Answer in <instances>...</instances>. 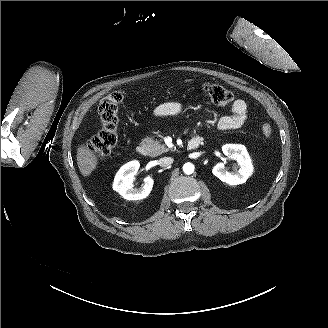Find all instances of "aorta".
<instances>
[{
	"label": "aorta",
	"mask_w": 328,
	"mask_h": 328,
	"mask_svg": "<svg viewBox=\"0 0 328 328\" xmlns=\"http://www.w3.org/2000/svg\"><path fill=\"white\" fill-rule=\"evenodd\" d=\"M194 165L190 162H187L183 165V172L187 175H190L194 172Z\"/></svg>",
	"instance_id": "762f6f07"
}]
</instances>
